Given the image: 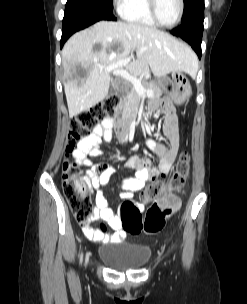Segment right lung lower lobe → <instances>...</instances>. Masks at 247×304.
<instances>
[{"label": "right lung lower lobe", "mask_w": 247, "mask_h": 304, "mask_svg": "<svg viewBox=\"0 0 247 304\" xmlns=\"http://www.w3.org/2000/svg\"><path fill=\"white\" fill-rule=\"evenodd\" d=\"M100 20L115 21L116 18L112 13L102 9L66 4L65 15L63 18L62 37L60 41L61 48L73 33Z\"/></svg>", "instance_id": "obj_1"}]
</instances>
